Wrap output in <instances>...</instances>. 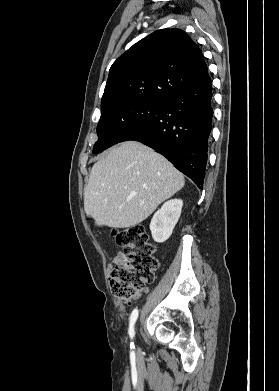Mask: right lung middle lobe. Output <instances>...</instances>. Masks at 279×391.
<instances>
[{
  "label": "right lung middle lobe",
  "mask_w": 279,
  "mask_h": 391,
  "mask_svg": "<svg viewBox=\"0 0 279 391\" xmlns=\"http://www.w3.org/2000/svg\"><path fill=\"white\" fill-rule=\"evenodd\" d=\"M164 102L139 101L116 107L101 113L97 125L98 141L93 153H99L121 142L134 129L150 122Z\"/></svg>",
  "instance_id": "1"
}]
</instances>
